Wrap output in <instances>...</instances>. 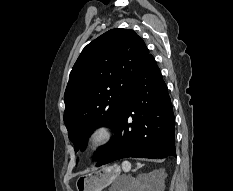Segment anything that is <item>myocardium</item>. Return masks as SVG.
Segmentation results:
<instances>
[{
    "instance_id": "obj_1",
    "label": "myocardium",
    "mask_w": 233,
    "mask_h": 191,
    "mask_svg": "<svg viewBox=\"0 0 233 191\" xmlns=\"http://www.w3.org/2000/svg\"><path fill=\"white\" fill-rule=\"evenodd\" d=\"M113 137L114 130L109 124H98L88 132L87 149L91 153H98L111 142Z\"/></svg>"
}]
</instances>
